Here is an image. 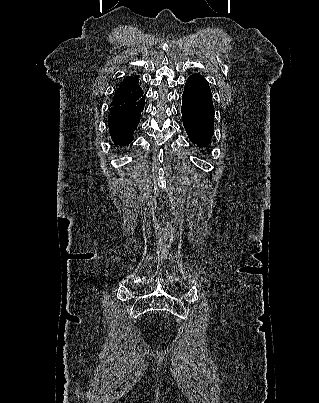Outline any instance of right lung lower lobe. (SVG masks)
<instances>
[{
	"label": "right lung lower lobe",
	"mask_w": 319,
	"mask_h": 403,
	"mask_svg": "<svg viewBox=\"0 0 319 403\" xmlns=\"http://www.w3.org/2000/svg\"><path fill=\"white\" fill-rule=\"evenodd\" d=\"M145 95L143 91L123 103L111 105L108 127L112 141L117 146H125L133 140L141 112L144 109Z\"/></svg>",
	"instance_id": "1"
}]
</instances>
